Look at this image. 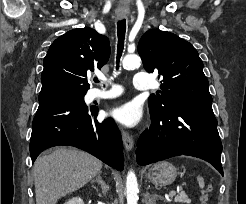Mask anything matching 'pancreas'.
<instances>
[{"label":"pancreas","mask_w":246,"mask_h":204,"mask_svg":"<svg viewBox=\"0 0 246 204\" xmlns=\"http://www.w3.org/2000/svg\"><path fill=\"white\" fill-rule=\"evenodd\" d=\"M189 197L185 193H180L177 197H175V202L180 203H190Z\"/></svg>","instance_id":"obj_1"}]
</instances>
